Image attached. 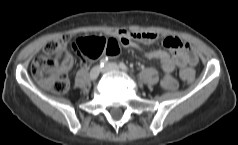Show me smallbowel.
Here are the masks:
<instances>
[{
    "label": "small bowel",
    "mask_w": 238,
    "mask_h": 145,
    "mask_svg": "<svg viewBox=\"0 0 238 145\" xmlns=\"http://www.w3.org/2000/svg\"><path fill=\"white\" fill-rule=\"evenodd\" d=\"M111 35L119 41L122 47H133L140 49L137 44L138 42L154 43L156 41H162V44L165 47L172 50V55L161 49L143 52L145 57L156 59L160 62L163 70V77L161 80V86L163 89L171 91L177 87V81L174 76V70L176 67L182 69L180 74L182 79V73L185 70L191 73L193 79V69L191 66L196 64L197 57L193 47L188 42H182L179 38L169 33L137 32L123 28L117 29L116 31L112 32ZM73 63L74 59L72 55L65 53L62 63L59 67V71L61 73H67L72 68Z\"/></svg>",
    "instance_id": "obj_1"
}]
</instances>
